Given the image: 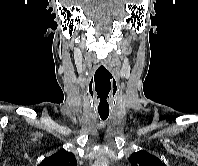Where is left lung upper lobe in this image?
Segmentation results:
<instances>
[{"label": "left lung upper lobe", "instance_id": "1", "mask_svg": "<svg viewBox=\"0 0 198 166\" xmlns=\"http://www.w3.org/2000/svg\"><path fill=\"white\" fill-rule=\"evenodd\" d=\"M129 161L131 166H165L161 160L145 151L132 153Z\"/></svg>", "mask_w": 198, "mask_h": 166}]
</instances>
